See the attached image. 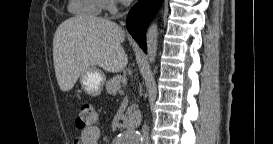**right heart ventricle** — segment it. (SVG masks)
<instances>
[{
    "label": "right heart ventricle",
    "mask_w": 273,
    "mask_h": 144,
    "mask_svg": "<svg viewBox=\"0 0 273 144\" xmlns=\"http://www.w3.org/2000/svg\"><path fill=\"white\" fill-rule=\"evenodd\" d=\"M70 11L79 16H95L103 9L102 0H71Z\"/></svg>",
    "instance_id": "1"
}]
</instances>
